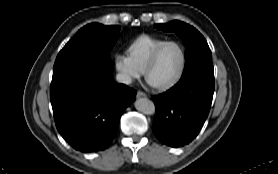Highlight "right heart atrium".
Listing matches in <instances>:
<instances>
[{"instance_id":"right-heart-atrium-1","label":"right heart atrium","mask_w":278,"mask_h":174,"mask_svg":"<svg viewBox=\"0 0 278 174\" xmlns=\"http://www.w3.org/2000/svg\"><path fill=\"white\" fill-rule=\"evenodd\" d=\"M117 68L121 75L126 79H130L138 75L137 68L126 57H120L117 60Z\"/></svg>"}]
</instances>
